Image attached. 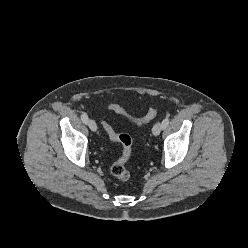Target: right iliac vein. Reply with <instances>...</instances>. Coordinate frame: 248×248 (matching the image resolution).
Segmentation results:
<instances>
[{
    "mask_svg": "<svg viewBox=\"0 0 248 248\" xmlns=\"http://www.w3.org/2000/svg\"><path fill=\"white\" fill-rule=\"evenodd\" d=\"M88 127L90 128L91 131L96 132L97 131V125L96 122L92 119L88 120L87 122Z\"/></svg>",
    "mask_w": 248,
    "mask_h": 248,
    "instance_id": "63e3f726",
    "label": "right iliac vein"
}]
</instances>
